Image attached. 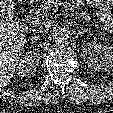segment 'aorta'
<instances>
[{
    "mask_svg": "<svg viewBox=\"0 0 113 113\" xmlns=\"http://www.w3.org/2000/svg\"><path fill=\"white\" fill-rule=\"evenodd\" d=\"M52 37L56 45H67L71 39V33L66 28H58L54 31Z\"/></svg>",
    "mask_w": 113,
    "mask_h": 113,
    "instance_id": "obj_1",
    "label": "aorta"
}]
</instances>
